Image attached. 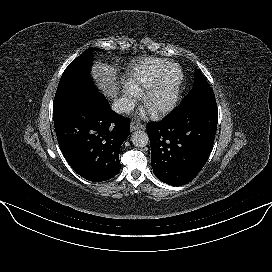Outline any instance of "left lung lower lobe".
Returning <instances> with one entry per match:
<instances>
[{"mask_svg":"<svg viewBox=\"0 0 272 272\" xmlns=\"http://www.w3.org/2000/svg\"><path fill=\"white\" fill-rule=\"evenodd\" d=\"M218 122L216 100L179 105L147 133L151 165L162 182L181 186L192 181L211 153Z\"/></svg>","mask_w":272,"mask_h":272,"instance_id":"obj_1","label":"left lung lower lobe"}]
</instances>
